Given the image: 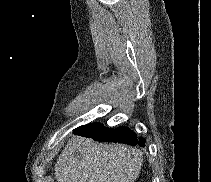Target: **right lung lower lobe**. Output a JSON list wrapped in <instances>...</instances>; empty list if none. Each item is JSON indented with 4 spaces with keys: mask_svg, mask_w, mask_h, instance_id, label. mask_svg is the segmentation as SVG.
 Instances as JSON below:
<instances>
[{
    "mask_svg": "<svg viewBox=\"0 0 211 182\" xmlns=\"http://www.w3.org/2000/svg\"><path fill=\"white\" fill-rule=\"evenodd\" d=\"M75 135H80L88 138H92L96 141L105 142H119L129 145L145 146V140L139 138L127 127H118L116 129L106 128L100 123H91L80 126L73 130Z\"/></svg>",
    "mask_w": 211,
    "mask_h": 182,
    "instance_id": "98d812e1",
    "label": "right lung lower lobe"
}]
</instances>
